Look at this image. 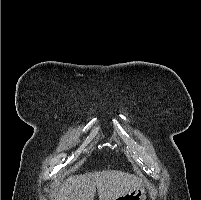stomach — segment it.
<instances>
[{
  "instance_id": "1",
  "label": "stomach",
  "mask_w": 201,
  "mask_h": 200,
  "mask_svg": "<svg viewBox=\"0 0 201 200\" xmlns=\"http://www.w3.org/2000/svg\"><path fill=\"white\" fill-rule=\"evenodd\" d=\"M115 200H146V191L144 187H140L136 190L117 197Z\"/></svg>"
}]
</instances>
